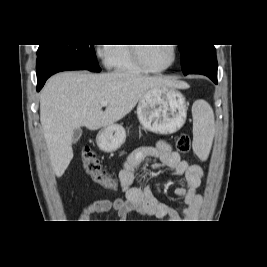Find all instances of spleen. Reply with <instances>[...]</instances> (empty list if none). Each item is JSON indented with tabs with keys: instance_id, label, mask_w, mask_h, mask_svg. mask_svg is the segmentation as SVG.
<instances>
[{
	"instance_id": "3e777b00",
	"label": "spleen",
	"mask_w": 267,
	"mask_h": 267,
	"mask_svg": "<svg viewBox=\"0 0 267 267\" xmlns=\"http://www.w3.org/2000/svg\"><path fill=\"white\" fill-rule=\"evenodd\" d=\"M214 136V115L207 105L194 115L193 123V150L202 160H205Z\"/></svg>"
}]
</instances>
